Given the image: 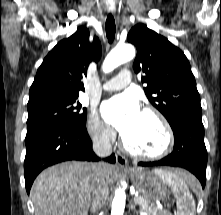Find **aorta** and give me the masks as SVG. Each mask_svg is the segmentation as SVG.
I'll return each instance as SVG.
<instances>
[{
	"mask_svg": "<svg viewBox=\"0 0 221 215\" xmlns=\"http://www.w3.org/2000/svg\"><path fill=\"white\" fill-rule=\"evenodd\" d=\"M135 56V48L131 44L117 45L105 58L102 68L105 73L113 71L116 67L132 60ZM126 194L122 188H118L112 200L111 215H123L125 209Z\"/></svg>",
	"mask_w": 221,
	"mask_h": 215,
	"instance_id": "1",
	"label": "aorta"
}]
</instances>
